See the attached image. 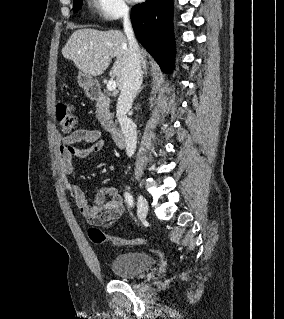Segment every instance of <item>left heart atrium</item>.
<instances>
[{"instance_id": "39dd6f15", "label": "left heart atrium", "mask_w": 284, "mask_h": 319, "mask_svg": "<svg viewBox=\"0 0 284 319\" xmlns=\"http://www.w3.org/2000/svg\"><path fill=\"white\" fill-rule=\"evenodd\" d=\"M130 1L137 2V1H140V0H130Z\"/></svg>"}]
</instances>
